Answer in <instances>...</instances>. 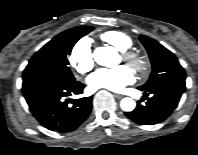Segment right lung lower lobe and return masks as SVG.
Masks as SVG:
<instances>
[{"instance_id": "98d812e1", "label": "right lung lower lobe", "mask_w": 198, "mask_h": 155, "mask_svg": "<svg viewBox=\"0 0 198 155\" xmlns=\"http://www.w3.org/2000/svg\"><path fill=\"white\" fill-rule=\"evenodd\" d=\"M84 84L61 83L45 78L23 80L22 92L33 116L47 129L60 133L77 129L92 109V97L67 99L81 94Z\"/></svg>"}]
</instances>
